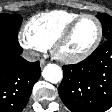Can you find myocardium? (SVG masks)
Instances as JSON below:
<instances>
[{
  "label": "myocardium",
  "instance_id": "f54148a6",
  "mask_svg": "<svg viewBox=\"0 0 112 112\" xmlns=\"http://www.w3.org/2000/svg\"><path fill=\"white\" fill-rule=\"evenodd\" d=\"M87 17L92 18L97 24V35H96V38L93 41L92 45L83 53L75 55V56H65V55L61 54L60 48H61L62 44L69 38L74 27L82 19L87 18ZM102 37H103V26H102L100 19L97 16L90 14V13L80 14L78 17L73 19L56 37V39L54 40V42L52 44V53L57 59L65 62V63H70V64L79 63V62L87 59L88 57H90L95 52V50L100 45Z\"/></svg>",
  "mask_w": 112,
  "mask_h": 112
}]
</instances>
